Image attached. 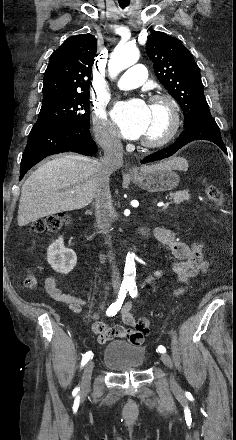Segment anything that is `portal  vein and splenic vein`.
Instances as JSON below:
<instances>
[{
  "mask_svg": "<svg viewBox=\"0 0 236 440\" xmlns=\"http://www.w3.org/2000/svg\"><path fill=\"white\" fill-rule=\"evenodd\" d=\"M168 205H169V203L162 204V209H166L168 207Z\"/></svg>",
  "mask_w": 236,
  "mask_h": 440,
  "instance_id": "portal-vein-and-splenic-vein-1",
  "label": "portal vein and splenic vein"
}]
</instances>
